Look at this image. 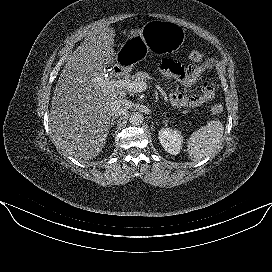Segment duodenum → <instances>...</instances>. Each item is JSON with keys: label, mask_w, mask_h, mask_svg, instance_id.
Masks as SVG:
<instances>
[{"label": "duodenum", "mask_w": 272, "mask_h": 272, "mask_svg": "<svg viewBox=\"0 0 272 272\" xmlns=\"http://www.w3.org/2000/svg\"><path fill=\"white\" fill-rule=\"evenodd\" d=\"M128 74V68L126 66H117L114 69V76L116 79H122Z\"/></svg>", "instance_id": "1"}]
</instances>
